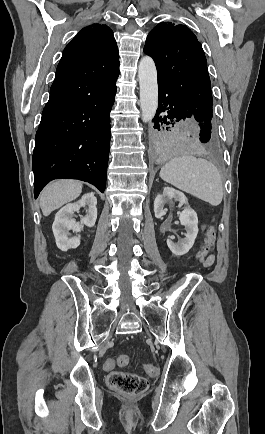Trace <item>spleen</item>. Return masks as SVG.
<instances>
[{"mask_svg": "<svg viewBox=\"0 0 265 434\" xmlns=\"http://www.w3.org/2000/svg\"><path fill=\"white\" fill-rule=\"evenodd\" d=\"M160 178L175 188L196 196L199 200L209 202L211 206H219L223 198L221 176L212 162L181 156L173 158L162 166Z\"/></svg>", "mask_w": 265, "mask_h": 434, "instance_id": "1", "label": "spleen"}]
</instances>
